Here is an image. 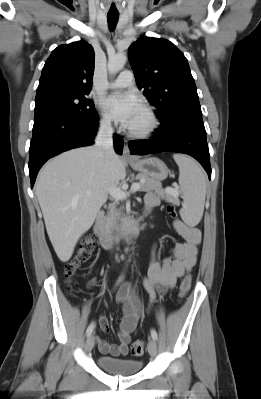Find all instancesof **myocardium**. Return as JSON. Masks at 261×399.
Here are the masks:
<instances>
[{
    "label": "myocardium",
    "instance_id": "f54148a6",
    "mask_svg": "<svg viewBox=\"0 0 261 399\" xmlns=\"http://www.w3.org/2000/svg\"><path fill=\"white\" fill-rule=\"evenodd\" d=\"M143 111L146 115L147 124L142 129L129 128L128 134L131 137L139 138V139L147 138V137L151 136L152 134H154L160 126V120H159L157 114L154 112V110L150 106L144 105Z\"/></svg>",
    "mask_w": 261,
    "mask_h": 399
}]
</instances>
